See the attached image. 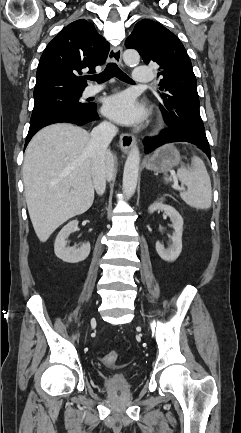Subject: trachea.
Returning <instances> with one entry per match:
<instances>
[{
  "mask_svg": "<svg viewBox=\"0 0 241 433\" xmlns=\"http://www.w3.org/2000/svg\"><path fill=\"white\" fill-rule=\"evenodd\" d=\"M117 77L119 80L127 82V83H134L133 80L125 74L116 63H109L105 70L101 72L98 75H92L88 76L87 79L96 81L97 83H102L106 80H109L112 77Z\"/></svg>",
  "mask_w": 241,
  "mask_h": 433,
  "instance_id": "obj_1",
  "label": "trachea"
}]
</instances>
